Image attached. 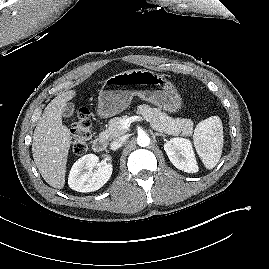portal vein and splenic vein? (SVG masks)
<instances>
[{"instance_id":"1","label":"portal vein and splenic vein","mask_w":269,"mask_h":269,"mask_svg":"<svg viewBox=\"0 0 269 269\" xmlns=\"http://www.w3.org/2000/svg\"><path fill=\"white\" fill-rule=\"evenodd\" d=\"M139 117L138 116H131L129 118H126L122 121L121 125H122V128L124 129H128V127L130 126V124L136 120H138Z\"/></svg>"}]
</instances>
